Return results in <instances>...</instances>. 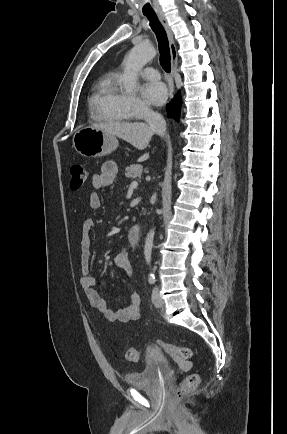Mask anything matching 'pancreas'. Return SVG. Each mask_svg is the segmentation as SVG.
I'll return each mask as SVG.
<instances>
[{
	"instance_id": "pancreas-1",
	"label": "pancreas",
	"mask_w": 287,
	"mask_h": 434,
	"mask_svg": "<svg viewBox=\"0 0 287 434\" xmlns=\"http://www.w3.org/2000/svg\"><path fill=\"white\" fill-rule=\"evenodd\" d=\"M142 174V166L138 164L130 165L126 168L125 176L127 178H137Z\"/></svg>"
}]
</instances>
